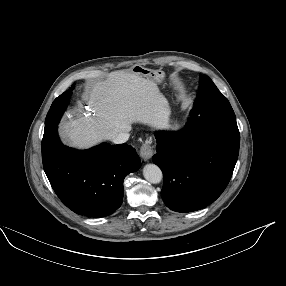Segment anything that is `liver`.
Returning a JSON list of instances; mask_svg holds the SVG:
<instances>
[{
  "instance_id": "liver-1",
  "label": "liver",
  "mask_w": 286,
  "mask_h": 286,
  "mask_svg": "<svg viewBox=\"0 0 286 286\" xmlns=\"http://www.w3.org/2000/svg\"><path fill=\"white\" fill-rule=\"evenodd\" d=\"M85 101L94 113L77 114L61 125L62 137L82 149L129 132L135 122L163 129L170 115L157 83L131 70L112 72L107 80L92 85Z\"/></svg>"
}]
</instances>
